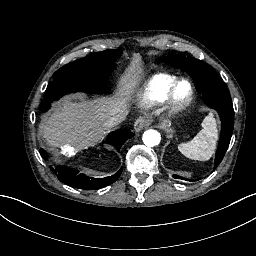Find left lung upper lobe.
<instances>
[{"label": "left lung upper lobe", "mask_w": 256, "mask_h": 256, "mask_svg": "<svg viewBox=\"0 0 256 256\" xmlns=\"http://www.w3.org/2000/svg\"><path fill=\"white\" fill-rule=\"evenodd\" d=\"M162 61L186 71L194 79L198 92L203 95V101L216 109L220 115L222 127L216 151L215 169L228 149L233 132L234 110L229 91L215 70L203 61L183 55H170L162 58Z\"/></svg>", "instance_id": "5c2ea615"}]
</instances>
